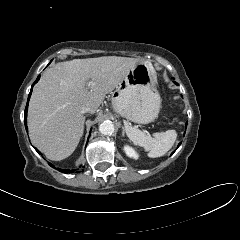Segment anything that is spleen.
I'll use <instances>...</instances> for the list:
<instances>
[{
	"label": "spleen",
	"mask_w": 240,
	"mask_h": 240,
	"mask_svg": "<svg viewBox=\"0 0 240 240\" xmlns=\"http://www.w3.org/2000/svg\"><path fill=\"white\" fill-rule=\"evenodd\" d=\"M125 131L129 139L135 144L148 151V156L157 158L165 155L173 146L177 133L175 130H168L164 133H155L152 137L145 131H141L136 126L125 124Z\"/></svg>",
	"instance_id": "spleen-1"
}]
</instances>
